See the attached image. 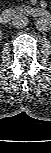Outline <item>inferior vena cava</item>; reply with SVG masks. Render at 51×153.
<instances>
[{
  "label": "inferior vena cava",
  "mask_w": 51,
  "mask_h": 153,
  "mask_svg": "<svg viewBox=\"0 0 51 153\" xmlns=\"http://www.w3.org/2000/svg\"><path fill=\"white\" fill-rule=\"evenodd\" d=\"M28 18L24 15H16L15 17H13L12 19V26L20 29V28H24L28 25Z\"/></svg>",
  "instance_id": "1"
}]
</instances>
